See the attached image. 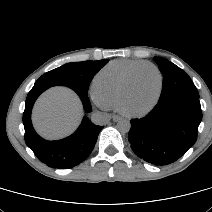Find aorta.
Listing matches in <instances>:
<instances>
[{"mask_svg":"<svg viewBox=\"0 0 212 212\" xmlns=\"http://www.w3.org/2000/svg\"><path fill=\"white\" fill-rule=\"evenodd\" d=\"M131 128V124L128 120H121L117 123V129L121 132V133H127L129 132Z\"/></svg>","mask_w":212,"mask_h":212,"instance_id":"762f6f07","label":"aorta"}]
</instances>
